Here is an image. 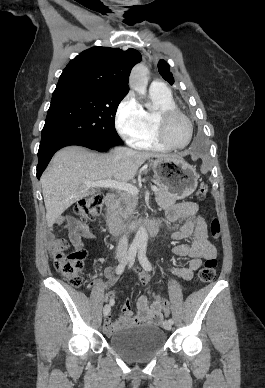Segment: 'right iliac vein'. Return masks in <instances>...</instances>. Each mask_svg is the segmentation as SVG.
<instances>
[{"instance_id": "obj_1", "label": "right iliac vein", "mask_w": 265, "mask_h": 388, "mask_svg": "<svg viewBox=\"0 0 265 388\" xmlns=\"http://www.w3.org/2000/svg\"><path fill=\"white\" fill-rule=\"evenodd\" d=\"M125 260V257L124 256H120L119 257V261L122 263L124 262ZM110 313V306L109 305H105L104 308H103V315L104 317H107Z\"/></svg>"}]
</instances>
